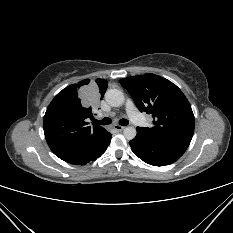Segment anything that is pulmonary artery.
<instances>
[{
    "mask_svg": "<svg viewBox=\"0 0 233 233\" xmlns=\"http://www.w3.org/2000/svg\"><path fill=\"white\" fill-rule=\"evenodd\" d=\"M126 111L130 119L136 125L145 126L147 124L146 119L138 112L137 108L131 100H127L126 102Z\"/></svg>",
    "mask_w": 233,
    "mask_h": 233,
    "instance_id": "obj_1",
    "label": "pulmonary artery"
}]
</instances>
